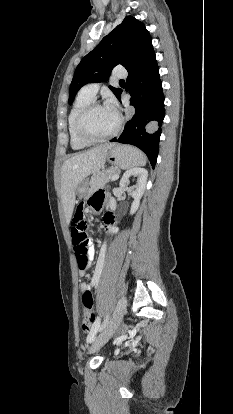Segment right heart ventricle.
<instances>
[{"instance_id": "right-heart-ventricle-1", "label": "right heart ventricle", "mask_w": 233, "mask_h": 414, "mask_svg": "<svg viewBox=\"0 0 233 414\" xmlns=\"http://www.w3.org/2000/svg\"><path fill=\"white\" fill-rule=\"evenodd\" d=\"M91 101H93L92 97L84 94L83 92H80L77 95L74 101V104L69 112L68 134H69L70 145L74 150H82L91 145V143L81 140L75 132V122H76L78 114Z\"/></svg>"}]
</instances>
